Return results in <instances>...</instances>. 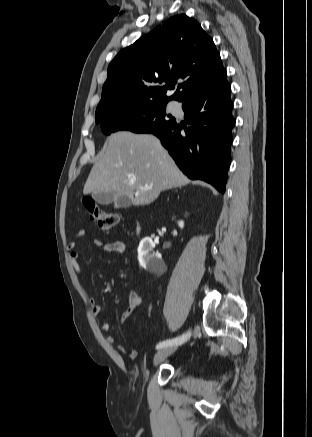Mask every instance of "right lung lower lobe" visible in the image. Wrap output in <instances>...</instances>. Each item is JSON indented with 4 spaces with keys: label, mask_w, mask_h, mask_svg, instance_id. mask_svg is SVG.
<instances>
[{
    "label": "right lung lower lobe",
    "mask_w": 312,
    "mask_h": 437,
    "mask_svg": "<svg viewBox=\"0 0 312 437\" xmlns=\"http://www.w3.org/2000/svg\"><path fill=\"white\" fill-rule=\"evenodd\" d=\"M230 93L224 74L215 84L182 101L185 119L191 126L175 121L153 132L184 174L193 180H204L222 193L230 166L231 131L235 124Z\"/></svg>",
    "instance_id": "right-lung-lower-lobe-1"
}]
</instances>
